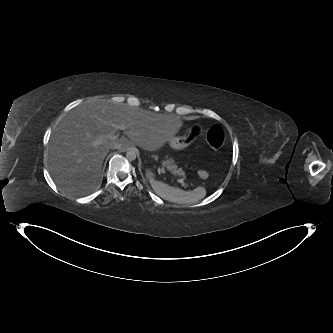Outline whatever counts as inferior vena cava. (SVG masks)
Segmentation results:
<instances>
[{
    "instance_id": "602c4592",
    "label": "inferior vena cava",
    "mask_w": 333,
    "mask_h": 333,
    "mask_svg": "<svg viewBox=\"0 0 333 333\" xmlns=\"http://www.w3.org/2000/svg\"><path fill=\"white\" fill-rule=\"evenodd\" d=\"M121 148V145L120 144H113L112 146H111V149H120Z\"/></svg>"
}]
</instances>
